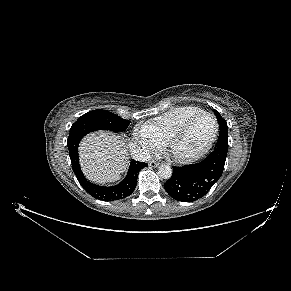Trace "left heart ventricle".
Instances as JSON below:
<instances>
[{
  "instance_id": "obj_1",
  "label": "left heart ventricle",
  "mask_w": 291,
  "mask_h": 291,
  "mask_svg": "<svg viewBox=\"0 0 291 291\" xmlns=\"http://www.w3.org/2000/svg\"><path fill=\"white\" fill-rule=\"evenodd\" d=\"M215 128L214 120L209 116L194 122L177 145V151L183 155L193 154L202 149L210 140Z\"/></svg>"
}]
</instances>
